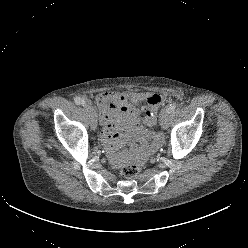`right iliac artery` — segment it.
<instances>
[{
	"mask_svg": "<svg viewBox=\"0 0 248 248\" xmlns=\"http://www.w3.org/2000/svg\"><path fill=\"white\" fill-rule=\"evenodd\" d=\"M74 102L77 104V105H85L86 102L84 99H82L81 97H75L74 98Z\"/></svg>",
	"mask_w": 248,
	"mask_h": 248,
	"instance_id": "right-iliac-artery-1",
	"label": "right iliac artery"
}]
</instances>
